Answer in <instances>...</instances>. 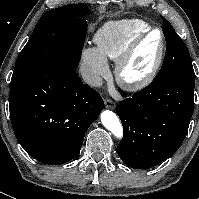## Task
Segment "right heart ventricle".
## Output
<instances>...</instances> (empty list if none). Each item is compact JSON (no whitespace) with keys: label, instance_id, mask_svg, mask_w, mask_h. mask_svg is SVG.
I'll list each match as a JSON object with an SVG mask.
<instances>
[{"label":"right heart ventricle","instance_id":"right-heart-ventricle-1","mask_svg":"<svg viewBox=\"0 0 199 199\" xmlns=\"http://www.w3.org/2000/svg\"><path fill=\"white\" fill-rule=\"evenodd\" d=\"M150 28V24L141 19L111 21L96 32L94 42L105 59L117 61L129 44Z\"/></svg>","mask_w":199,"mask_h":199}]
</instances>
